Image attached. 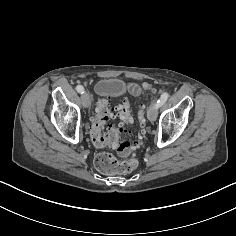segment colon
I'll return each mask as SVG.
<instances>
[{"label":"colon","instance_id":"colon-1","mask_svg":"<svg viewBox=\"0 0 236 236\" xmlns=\"http://www.w3.org/2000/svg\"><path fill=\"white\" fill-rule=\"evenodd\" d=\"M137 89L155 93L156 89L149 83H144ZM145 107H140L139 122L143 128L146 124ZM119 115L122 122L113 125L107 133L104 132L105 124ZM133 124V116L130 111V104L127 100L113 102L110 98L98 100L95 106L91 123V139L97 148H111L124 158L118 161L110 153L102 152L95 157V165L99 171L105 174L129 173L136 169L137 161L134 158L136 145L125 134Z\"/></svg>","mask_w":236,"mask_h":236}]
</instances>
